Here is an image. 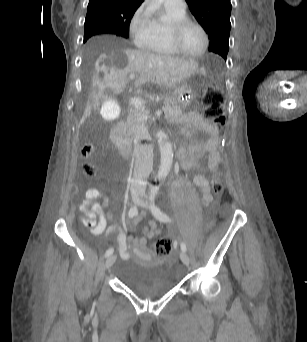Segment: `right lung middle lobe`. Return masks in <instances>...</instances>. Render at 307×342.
<instances>
[{"label": "right lung middle lobe", "mask_w": 307, "mask_h": 342, "mask_svg": "<svg viewBox=\"0 0 307 342\" xmlns=\"http://www.w3.org/2000/svg\"><path fill=\"white\" fill-rule=\"evenodd\" d=\"M100 33H112L116 34L118 36H122L127 38L128 37V31H119V30H111L104 26L99 25L94 18L87 17L85 20V34H84V42H86L87 39H89L91 36L95 34Z\"/></svg>", "instance_id": "obj_1"}]
</instances>
